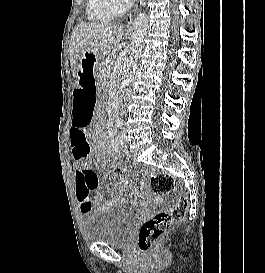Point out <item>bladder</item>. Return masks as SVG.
Masks as SVG:
<instances>
[{"label": "bladder", "mask_w": 265, "mask_h": 273, "mask_svg": "<svg viewBox=\"0 0 265 273\" xmlns=\"http://www.w3.org/2000/svg\"><path fill=\"white\" fill-rule=\"evenodd\" d=\"M137 220L136 210L125 204L95 208L86 215L84 235L89 241L123 248L132 237Z\"/></svg>", "instance_id": "bladder-1"}]
</instances>
